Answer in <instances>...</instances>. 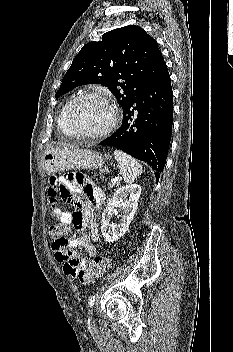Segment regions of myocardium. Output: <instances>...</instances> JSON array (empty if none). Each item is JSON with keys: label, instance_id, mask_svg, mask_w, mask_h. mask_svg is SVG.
<instances>
[{"label": "myocardium", "instance_id": "myocardium-1", "mask_svg": "<svg viewBox=\"0 0 233 352\" xmlns=\"http://www.w3.org/2000/svg\"><path fill=\"white\" fill-rule=\"evenodd\" d=\"M86 98H96L104 101L110 107L112 112V118L108 123V125L104 127L102 130L95 133H79L75 131L73 128V123H72L73 111L77 106V104ZM118 121H119V110L116 104L112 101L111 98L99 92H84L76 96L72 100L71 104L69 105L67 115H66V124L69 129L70 135L74 138L85 139V140L99 139V138L105 137L115 129L116 125L118 124Z\"/></svg>", "mask_w": 233, "mask_h": 352}]
</instances>
